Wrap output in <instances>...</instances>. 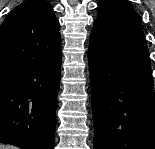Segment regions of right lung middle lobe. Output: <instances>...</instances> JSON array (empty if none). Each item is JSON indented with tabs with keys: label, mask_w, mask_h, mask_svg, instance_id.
I'll return each instance as SVG.
<instances>
[{
	"label": "right lung middle lobe",
	"mask_w": 155,
	"mask_h": 149,
	"mask_svg": "<svg viewBox=\"0 0 155 149\" xmlns=\"http://www.w3.org/2000/svg\"><path fill=\"white\" fill-rule=\"evenodd\" d=\"M13 77L14 75H11V74L0 75V83L7 81L9 79H12Z\"/></svg>",
	"instance_id": "obj_1"
}]
</instances>
